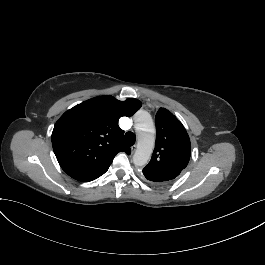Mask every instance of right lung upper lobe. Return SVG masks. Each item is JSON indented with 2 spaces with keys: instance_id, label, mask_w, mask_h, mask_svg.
Returning <instances> with one entry per match:
<instances>
[{
  "instance_id": "cb5924a9",
  "label": "right lung upper lobe",
  "mask_w": 265,
  "mask_h": 265,
  "mask_svg": "<svg viewBox=\"0 0 265 265\" xmlns=\"http://www.w3.org/2000/svg\"><path fill=\"white\" fill-rule=\"evenodd\" d=\"M137 99L119 101L106 95L82 102L56 122L52 145L61 168L72 178L89 182L103 175L117 153L130 154L118 120L141 107Z\"/></svg>"
}]
</instances>
